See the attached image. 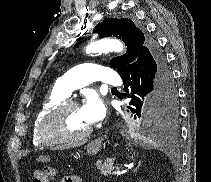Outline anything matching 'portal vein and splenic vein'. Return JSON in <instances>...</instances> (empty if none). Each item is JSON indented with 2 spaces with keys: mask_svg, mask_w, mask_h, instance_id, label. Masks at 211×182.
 Segmentation results:
<instances>
[{
  "mask_svg": "<svg viewBox=\"0 0 211 182\" xmlns=\"http://www.w3.org/2000/svg\"><path fill=\"white\" fill-rule=\"evenodd\" d=\"M114 174H115V175H116V174H119V172H118V171H115Z\"/></svg>",
  "mask_w": 211,
  "mask_h": 182,
  "instance_id": "18ae733b",
  "label": "portal vein and splenic vein"
}]
</instances>
